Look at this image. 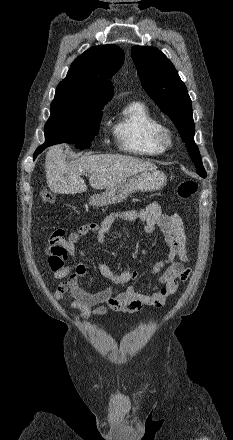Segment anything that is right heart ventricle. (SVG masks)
<instances>
[{
  "label": "right heart ventricle",
  "mask_w": 233,
  "mask_h": 440,
  "mask_svg": "<svg viewBox=\"0 0 233 440\" xmlns=\"http://www.w3.org/2000/svg\"><path fill=\"white\" fill-rule=\"evenodd\" d=\"M161 126L146 104L134 101L126 105L114 119L111 131L119 148L132 156L150 157L164 152L155 132Z\"/></svg>",
  "instance_id": "e07e8e85"
}]
</instances>
